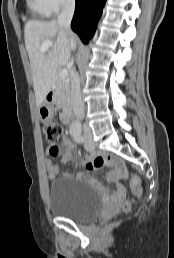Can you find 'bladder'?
<instances>
[{"label":"bladder","mask_w":174,"mask_h":258,"mask_svg":"<svg viewBox=\"0 0 174 258\" xmlns=\"http://www.w3.org/2000/svg\"><path fill=\"white\" fill-rule=\"evenodd\" d=\"M48 204L54 215L86 221L100 214L102 198L84 179L64 174L53 181Z\"/></svg>","instance_id":"1"}]
</instances>
